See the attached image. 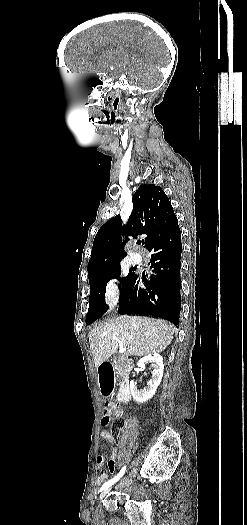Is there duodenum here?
I'll return each mask as SVG.
<instances>
[{
	"label": "duodenum",
	"mask_w": 247,
	"mask_h": 525,
	"mask_svg": "<svg viewBox=\"0 0 247 525\" xmlns=\"http://www.w3.org/2000/svg\"><path fill=\"white\" fill-rule=\"evenodd\" d=\"M114 363L112 361H103L97 369L98 382L100 391L103 396H110L114 387ZM131 398L129 379L125 377L119 388L117 399L120 403L125 404Z\"/></svg>",
	"instance_id": "duodenum-1"
}]
</instances>
